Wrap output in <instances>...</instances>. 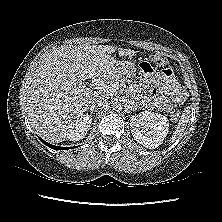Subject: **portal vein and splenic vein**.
<instances>
[{
    "label": "portal vein and splenic vein",
    "mask_w": 222,
    "mask_h": 222,
    "mask_svg": "<svg viewBox=\"0 0 222 222\" xmlns=\"http://www.w3.org/2000/svg\"><path fill=\"white\" fill-rule=\"evenodd\" d=\"M102 88H105L107 92H114L118 88V86L114 85H104Z\"/></svg>",
    "instance_id": "obj_1"
}]
</instances>
